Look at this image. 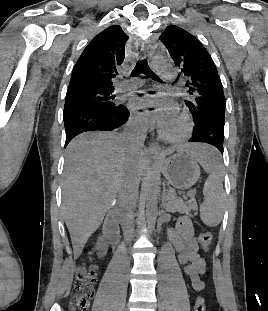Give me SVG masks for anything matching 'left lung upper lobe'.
Segmentation results:
<instances>
[{
	"label": "left lung upper lobe",
	"instance_id": "5c2ea615",
	"mask_svg": "<svg viewBox=\"0 0 268 311\" xmlns=\"http://www.w3.org/2000/svg\"><path fill=\"white\" fill-rule=\"evenodd\" d=\"M160 40L185 79V104L193 116L194 123L205 117H214L209 115L210 111L225 108L226 101L218 71L200 41L175 25L168 26L161 34Z\"/></svg>",
	"mask_w": 268,
	"mask_h": 311
}]
</instances>
